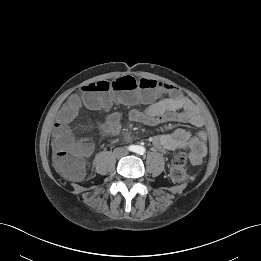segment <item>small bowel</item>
<instances>
[{
	"label": "small bowel",
	"mask_w": 261,
	"mask_h": 261,
	"mask_svg": "<svg viewBox=\"0 0 261 261\" xmlns=\"http://www.w3.org/2000/svg\"><path fill=\"white\" fill-rule=\"evenodd\" d=\"M162 92L166 98L158 101L146 102L142 110L132 108L126 117L131 122L156 126L167 122L188 123L197 128H203L206 120L200 109L178 89L165 85ZM109 102L105 106L113 104L112 97H106ZM124 114L118 111L109 112L103 122L102 128L108 135H117L122 129ZM61 123L56 124V128ZM206 131L200 130L195 134L185 129H177L169 134L156 135L152 138L153 145L164 151L183 149L189 151V159L193 165H199L207 153ZM93 145L88 144L84 156H90Z\"/></svg>",
	"instance_id": "obj_1"
}]
</instances>
